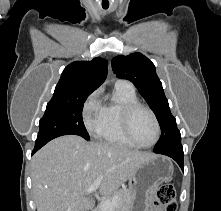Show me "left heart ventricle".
<instances>
[{"label":"left heart ventricle","instance_id":"obj_1","mask_svg":"<svg viewBox=\"0 0 221 211\" xmlns=\"http://www.w3.org/2000/svg\"><path fill=\"white\" fill-rule=\"evenodd\" d=\"M132 132L141 144H150L156 136V129L151 115L143 109L138 110L132 119Z\"/></svg>","mask_w":221,"mask_h":211}]
</instances>
